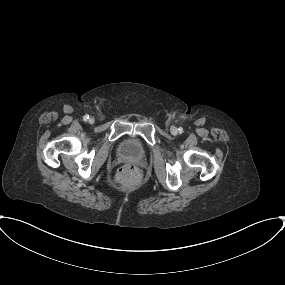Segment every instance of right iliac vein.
Wrapping results in <instances>:
<instances>
[{"label":"right iliac vein","instance_id":"1","mask_svg":"<svg viewBox=\"0 0 285 285\" xmlns=\"http://www.w3.org/2000/svg\"><path fill=\"white\" fill-rule=\"evenodd\" d=\"M89 123H90V124L94 123V119H93V118H90V119H89Z\"/></svg>","mask_w":285,"mask_h":285}]
</instances>
